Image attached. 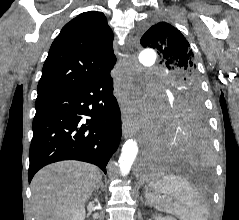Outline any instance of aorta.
I'll return each instance as SVG.
<instances>
[{
  "mask_svg": "<svg viewBox=\"0 0 239 220\" xmlns=\"http://www.w3.org/2000/svg\"><path fill=\"white\" fill-rule=\"evenodd\" d=\"M155 48H143L138 55L139 68L140 64L144 66L155 65ZM138 154V144L133 139H128L123 145L121 155L119 157V169L123 177L130 173L131 167Z\"/></svg>",
  "mask_w": 239,
  "mask_h": 220,
  "instance_id": "1",
  "label": "aorta"
}]
</instances>
